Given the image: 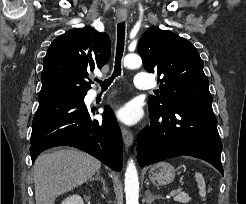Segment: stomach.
<instances>
[{"instance_id":"obj_1","label":"stomach","mask_w":246,"mask_h":204,"mask_svg":"<svg viewBox=\"0 0 246 204\" xmlns=\"http://www.w3.org/2000/svg\"><path fill=\"white\" fill-rule=\"evenodd\" d=\"M148 178L155 185H167L174 180L175 169L167 162L157 163L149 169Z\"/></svg>"}]
</instances>
